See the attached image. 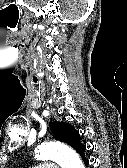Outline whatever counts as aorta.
<instances>
[{
  "label": "aorta",
  "mask_w": 127,
  "mask_h": 168,
  "mask_svg": "<svg viewBox=\"0 0 127 168\" xmlns=\"http://www.w3.org/2000/svg\"><path fill=\"white\" fill-rule=\"evenodd\" d=\"M38 160H53L62 168H85L79 155L69 146L60 142H48L39 146Z\"/></svg>",
  "instance_id": "aorta-1"
}]
</instances>
